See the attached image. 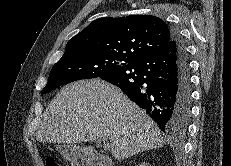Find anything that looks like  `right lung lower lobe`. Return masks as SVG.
<instances>
[{
  "label": "right lung lower lobe",
  "instance_id": "98d812e1",
  "mask_svg": "<svg viewBox=\"0 0 231 166\" xmlns=\"http://www.w3.org/2000/svg\"><path fill=\"white\" fill-rule=\"evenodd\" d=\"M119 87L171 136L186 132L191 110L188 55L179 33L160 51L100 76Z\"/></svg>",
  "mask_w": 231,
  "mask_h": 166
}]
</instances>
